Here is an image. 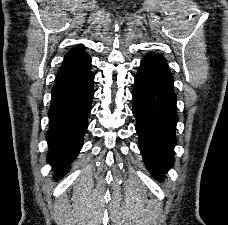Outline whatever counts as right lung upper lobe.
Segmentation results:
<instances>
[{
  "mask_svg": "<svg viewBox=\"0 0 228 225\" xmlns=\"http://www.w3.org/2000/svg\"><path fill=\"white\" fill-rule=\"evenodd\" d=\"M84 49L85 47L82 45L74 48L72 51L66 54L65 60L75 59L83 55H86V53L84 52Z\"/></svg>",
  "mask_w": 228,
  "mask_h": 225,
  "instance_id": "right-lung-upper-lobe-1",
  "label": "right lung upper lobe"
}]
</instances>
